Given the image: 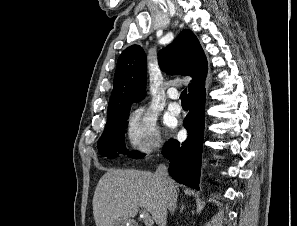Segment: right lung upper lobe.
Listing matches in <instances>:
<instances>
[{"instance_id":"cb5924a9","label":"right lung upper lobe","mask_w":297,"mask_h":226,"mask_svg":"<svg viewBox=\"0 0 297 226\" xmlns=\"http://www.w3.org/2000/svg\"><path fill=\"white\" fill-rule=\"evenodd\" d=\"M160 68L167 74L191 76L189 95L204 87L207 59L194 33L183 30L168 47L159 53ZM147 59L138 45L129 46L120 55L114 76V87L108 110L130 107L145 97Z\"/></svg>"}]
</instances>
